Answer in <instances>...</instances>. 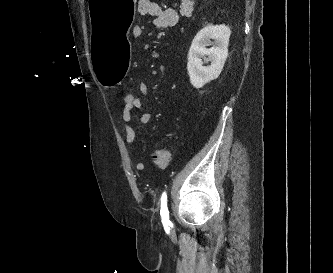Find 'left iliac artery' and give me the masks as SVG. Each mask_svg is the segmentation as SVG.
Segmentation results:
<instances>
[{"mask_svg": "<svg viewBox=\"0 0 333 273\" xmlns=\"http://www.w3.org/2000/svg\"><path fill=\"white\" fill-rule=\"evenodd\" d=\"M161 221L163 225L169 224V210L167 207V194L164 191L161 195V209H160Z\"/></svg>", "mask_w": 333, "mask_h": 273, "instance_id": "44dca946", "label": "left iliac artery"}]
</instances>
